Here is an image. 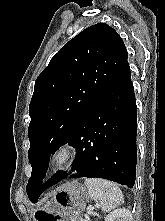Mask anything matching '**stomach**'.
<instances>
[{
    "mask_svg": "<svg viewBox=\"0 0 165 221\" xmlns=\"http://www.w3.org/2000/svg\"><path fill=\"white\" fill-rule=\"evenodd\" d=\"M89 197L88 189L78 181L67 183L59 188L50 204H41L40 208H36L34 217H46L38 218V221H80Z\"/></svg>",
    "mask_w": 165,
    "mask_h": 221,
    "instance_id": "stomach-1",
    "label": "stomach"
}]
</instances>
